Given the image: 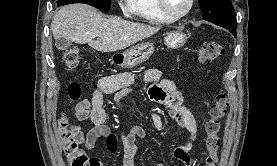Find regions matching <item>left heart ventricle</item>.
<instances>
[{
  "mask_svg": "<svg viewBox=\"0 0 277 166\" xmlns=\"http://www.w3.org/2000/svg\"><path fill=\"white\" fill-rule=\"evenodd\" d=\"M166 3L172 13L178 14L185 10L188 0H166Z\"/></svg>",
  "mask_w": 277,
  "mask_h": 166,
  "instance_id": "obj_1",
  "label": "left heart ventricle"
}]
</instances>
